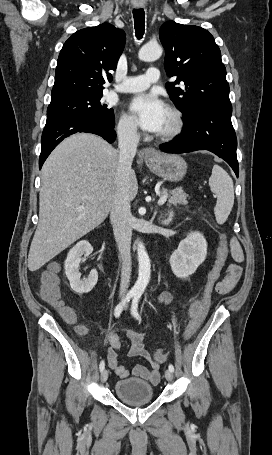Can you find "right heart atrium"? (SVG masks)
I'll return each instance as SVG.
<instances>
[{
  "instance_id": "d8ad5b80",
  "label": "right heart atrium",
  "mask_w": 272,
  "mask_h": 455,
  "mask_svg": "<svg viewBox=\"0 0 272 455\" xmlns=\"http://www.w3.org/2000/svg\"><path fill=\"white\" fill-rule=\"evenodd\" d=\"M117 133L121 140L135 143L139 139V132L135 122L129 116L123 114L117 123Z\"/></svg>"
}]
</instances>
